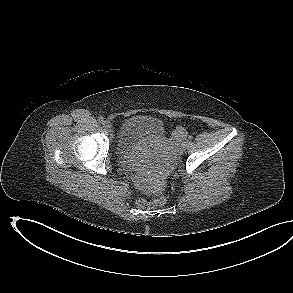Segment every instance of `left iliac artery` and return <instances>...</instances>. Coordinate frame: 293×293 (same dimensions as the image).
Here are the masks:
<instances>
[{"label": "left iliac artery", "instance_id": "obj_1", "mask_svg": "<svg viewBox=\"0 0 293 293\" xmlns=\"http://www.w3.org/2000/svg\"><path fill=\"white\" fill-rule=\"evenodd\" d=\"M188 139H189V140H192V139H193V137H192V136H189V137H188Z\"/></svg>", "mask_w": 293, "mask_h": 293}]
</instances>
